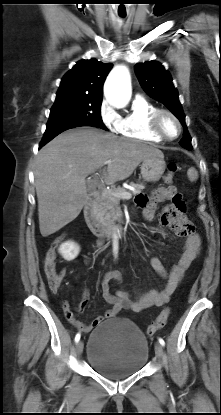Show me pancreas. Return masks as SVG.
Returning a JSON list of instances; mask_svg holds the SVG:
<instances>
[{
    "label": "pancreas",
    "mask_w": 221,
    "mask_h": 415,
    "mask_svg": "<svg viewBox=\"0 0 221 415\" xmlns=\"http://www.w3.org/2000/svg\"><path fill=\"white\" fill-rule=\"evenodd\" d=\"M129 184L135 188L134 191L130 192L131 195L139 194L145 188L142 183L130 182ZM121 191H126V189L119 186L111 190H104L98 197L94 211L97 219L101 223H113L117 220L116 207L119 205L120 199L115 197L112 193Z\"/></svg>",
    "instance_id": "pancreas-1"
}]
</instances>
